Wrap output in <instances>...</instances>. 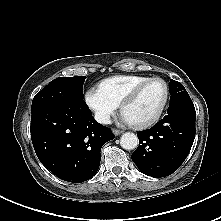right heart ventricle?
Wrapping results in <instances>:
<instances>
[{
    "mask_svg": "<svg viewBox=\"0 0 221 221\" xmlns=\"http://www.w3.org/2000/svg\"><path fill=\"white\" fill-rule=\"evenodd\" d=\"M149 78L134 75L114 76L102 80L98 88L111 100L121 104L123 99L140 83Z\"/></svg>",
    "mask_w": 221,
    "mask_h": 221,
    "instance_id": "e07e8e85",
    "label": "right heart ventricle"
}]
</instances>
